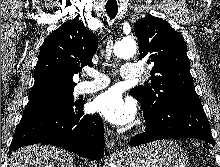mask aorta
Instances as JSON below:
<instances>
[{"instance_id": "aorta-1", "label": "aorta", "mask_w": 220, "mask_h": 167, "mask_svg": "<svg viewBox=\"0 0 220 167\" xmlns=\"http://www.w3.org/2000/svg\"><path fill=\"white\" fill-rule=\"evenodd\" d=\"M136 42L132 38H124L119 40L114 45V53L117 57L127 59L136 54ZM110 167H116L111 164Z\"/></svg>"}]
</instances>
